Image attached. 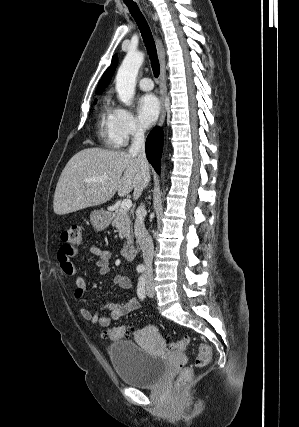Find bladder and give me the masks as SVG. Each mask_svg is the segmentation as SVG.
I'll return each mask as SVG.
<instances>
[{"label":"bladder","mask_w":299,"mask_h":427,"mask_svg":"<svg viewBox=\"0 0 299 427\" xmlns=\"http://www.w3.org/2000/svg\"><path fill=\"white\" fill-rule=\"evenodd\" d=\"M109 356L119 379L136 388L156 386L168 368L164 357L148 353L131 340L112 343Z\"/></svg>","instance_id":"31cf9c89"}]
</instances>
